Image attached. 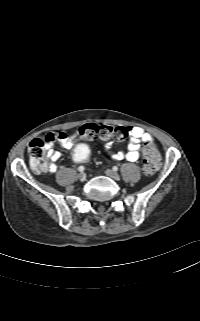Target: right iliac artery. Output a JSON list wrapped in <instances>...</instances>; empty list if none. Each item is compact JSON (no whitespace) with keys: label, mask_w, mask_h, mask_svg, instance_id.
Listing matches in <instances>:
<instances>
[{"label":"right iliac artery","mask_w":200,"mask_h":321,"mask_svg":"<svg viewBox=\"0 0 200 321\" xmlns=\"http://www.w3.org/2000/svg\"><path fill=\"white\" fill-rule=\"evenodd\" d=\"M78 170H79L80 172H83V171L85 170V167H84V166H80V167L78 168Z\"/></svg>","instance_id":"1"}]
</instances>
